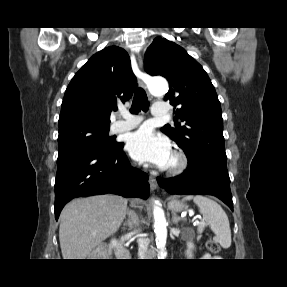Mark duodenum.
<instances>
[{
    "label": "duodenum",
    "instance_id": "1",
    "mask_svg": "<svg viewBox=\"0 0 287 287\" xmlns=\"http://www.w3.org/2000/svg\"><path fill=\"white\" fill-rule=\"evenodd\" d=\"M118 256L119 257H124V258H128L130 256V253H129L128 249L124 245L123 238L120 239V244H119V247H118Z\"/></svg>",
    "mask_w": 287,
    "mask_h": 287
}]
</instances>
